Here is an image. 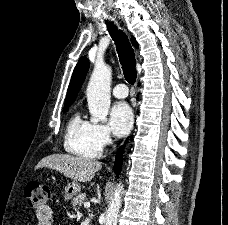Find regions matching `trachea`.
Returning a JSON list of instances; mask_svg holds the SVG:
<instances>
[{"instance_id":"1","label":"trachea","mask_w":228,"mask_h":225,"mask_svg":"<svg viewBox=\"0 0 228 225\" xmlns=\"http://www.w3.org/2000/svg\"><path fill=\"white\" fill-rule=\"evenodd\" d=\"M107 27L111 37L115 41L124 76L127 82L133 85L137 77L134 50L127 35L122 30H118L112 22H107Z\"/></svg>"}]
</instances>
